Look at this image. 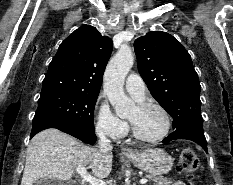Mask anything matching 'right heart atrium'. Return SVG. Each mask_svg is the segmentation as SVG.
I'll return each mask as SVG.
<instances>
[{
  "instance_id": "obj_1",
  "label": "right heart atrium",
  "mask_w": 233,
  "mask_h": 185,
  "mask_svg": "<svg viewBox=\"0 0 233 185\" xmlns=\"http://www.w3.org/2000/svg\"><path fill=\"white\" fill-rule=\"evenodd\" d=\"M95 131L99 136L117 141L124 138L129 130L128 124L116 116L108 104L98 99L94 107Z\"/></svg>"
}]
</instances>
